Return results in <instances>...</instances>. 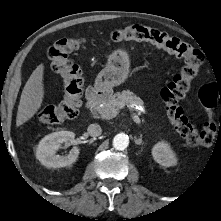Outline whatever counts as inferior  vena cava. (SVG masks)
I'll return each instance as SVG.
<instances>
[{
  "label": "inferior vena cava",
  "instance_id": "602c4592",
  "mask_svg": "<svg viewBox=\"0 0 221 221\" xmlns=\"http://www.w3.org/2000/svg\"><path fill=\"white\" fill-rule=\"evenodd\" d=\"M87 132L92 137L100 136L102 133V129L98 124H90L87 128Z\"/></svg>",
  "mask_w": 221,
  "mask_h": 221
}]
</instances>
